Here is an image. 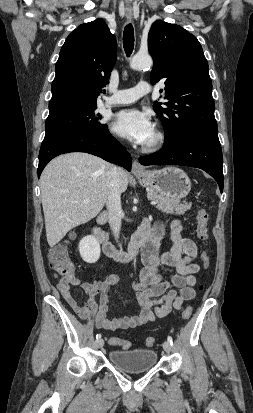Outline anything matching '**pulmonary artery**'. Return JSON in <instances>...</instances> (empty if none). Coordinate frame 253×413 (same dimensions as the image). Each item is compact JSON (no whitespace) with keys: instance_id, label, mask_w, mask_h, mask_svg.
Here are the masks:
<instances>
[{"instance_id":"pulmonary-artery-1","label":"pulmonary artery","mask_w":253,"mask_h":413,"mask_svg":"<svg viewBox=\"0 0 253 413\" xmlns=\"http://www.w3.org/2000/svg\"><path fill=\"white\" fill-rule=\"evenodd\" d=\"M150 92L151 86L147 82L141 81L133 88L115 90L113 95L106 99L105 106L109 107L133 103L142 96L149 94Z\"/></svg>"}]
</instances>
